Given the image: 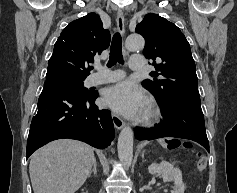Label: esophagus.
Instances as JSON below:
<instances>
[{
    "instance_id": "esophagus-1",
    "label": "esophagus",
    "mask_w": 237,
    "mask_h": 193,
    "mask_svg": "<svg viewBox=\"0 0 237 193\" xmlns=\"http://www.w3.org/2000/svg\"><path fill=\"white\" fill-rule=\"evenodd\" d=\"M117 27L119 32L124 35L125 33V24H124V15L121 10L117 12ZM112 120L116 129L120 130L124 127L125 122L115 113L112 114Z\"/></svg>"
}]
</instances>
